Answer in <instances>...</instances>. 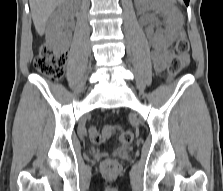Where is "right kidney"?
<instances>
[{"mask_svg": "<svg viewBox=\"0 0 223 191\" xmlns=\"http://www.w3.org/2000/svg\"><path fill=\"white\" fill-rule=\"evenodd\" d=\"M78 0H67L58 6L48 22L46 38L56 52H65L70 45L72 33L67 24L68 14L78 7Z\"/></svg>", "mask_w": 223, "mask_h": 191, "instance_id": "obj_1", "label": "right kidney"}]
</instances>
